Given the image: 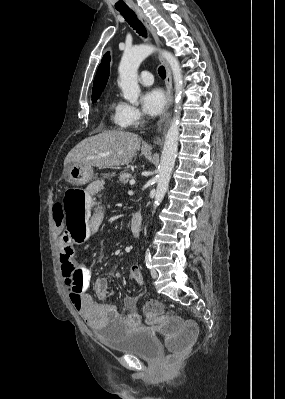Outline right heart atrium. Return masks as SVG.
I'll return each instance as SVG.
<instances>
[{
  "label": "right heart atrium",
  "instance_id": "d8ad5b80",
  "mask_svg": "<svg viewBox=\"0 0 285 399\" xmlns=\"http://www.w3.org/2000/svg\"><path fill=\"white\" fill-rule=\"evenodd\" d=\"M122 118L123 123L130 127L136 125L141 120L142 114L137 107L123 103Z\"/></svg>",
  "mask_w": 285,
  "mask_h": 399
}]
</instances>
